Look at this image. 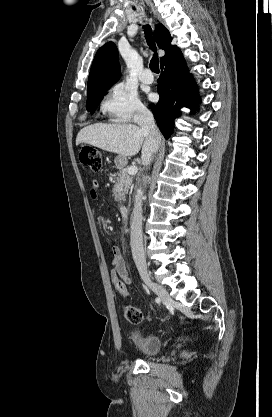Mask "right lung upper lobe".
Returning a JSON list of instances; mask_svg holds the SVG:
<instances>
[{"instance_id":"obj_1","label":"right lung upper lobe","mask_w":272,"mask_h":417,"mask_svg":"<svg viewBox=\"0 0 272 417\" xmlns=\"http://www.w3.org/2000/svg\"><path fill=\"white\" fill-rule=\"evenodd\" d=\"M154 37L158 47L165 50L166 55L161 58V62L177 47L171 46V36L168 30L162 25H156ZM120 78V65L118 61V51L114 43L104 44L97 51L88 78L87 93L99 89L110 88Z\"/></svg>"}]
</instances>
